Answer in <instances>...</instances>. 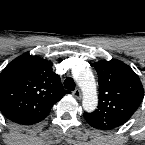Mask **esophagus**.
Here are the masks:
<instances>
[{
  "label": "esophagus",
  "mask_w": 145,
  "mask_h": 145,
  "mask_svg": "<svg viewBox=\"0 0 145 145\" xmlns=\"http://www.w3.org/2000/svg\"><path fill=\"white\" fill-rule=\"evenodd\" d=\"M73 96L77 99H80L82 97V93L79 89H76L73 91Z\"/></svg>",
  "instance_id": "34e87169"
}]
</instances>
